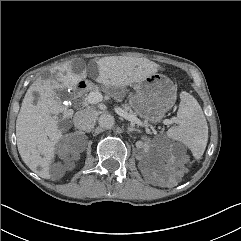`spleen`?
I'll use <instances>...</instances> for the list:
<instances>
[{"label":"spleen","mask_w":241,"mask_h":241,"mask_svg":"<svg viewBox=\"0 0 241 241\" xmlns=\"http://www.w3.org/2000/svg\"><path fill=\"white\" fill-rule=\"evenodd\" d=\"M180 105L177 112L178 126L170 128L166 136L183 142L192 151L196 159L200 158L207 146L208 126L203 111L197 100L189 93L180 94Z\"/></svg>","instance_id":"obj_1"}]
</instances>
